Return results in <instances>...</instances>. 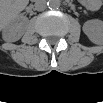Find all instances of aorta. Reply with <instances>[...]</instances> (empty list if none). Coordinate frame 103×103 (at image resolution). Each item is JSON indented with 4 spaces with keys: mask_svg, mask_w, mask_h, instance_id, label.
Returning a JSON list of instances; mask_svg holds the SVG:
<instances>
[{
    "mask_svg": "<svg viewBox=\"0 0 103 103\" xmlns=\"http://www.w3.org/2000/svg\"><path fill=\"white\" fill-rule=\"evenodd\" d=\"M47 5L51 9H56L60 6V1L59 0H49L47 2Z\"/></svg>",
    "mask_w": 103,
    "mask_h": 103,
    "instance_id": "1",
    "label": "aorta"
}]
</instances>
